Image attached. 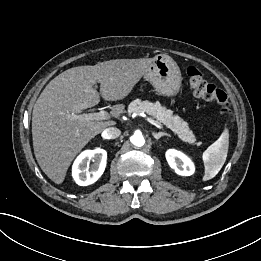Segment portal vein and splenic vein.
I'll return each mask as SVG.
<instances>
[{"label": "portal vein and splenic vein", "mask_w": 261, "mask_h": 261, "mask_svg": "<svg viewBox=\"0 0 261 261\" xmlns=\"http://www.w3.org/2000/svg\"><path fill=\"white\" fill-rule=\"evenodd\" d=\"M70 117L74 120H79V121H93V120L98 121V120H108L109 114L104 110H100L99 112L88 113V114H80V115L71 114ZM146 119L149 123L156 126L157 128L159 129L163 128L159 122L153 120L152 118L147 117Z\"/></svg>", "instance_id": "1"}]
</instances>
